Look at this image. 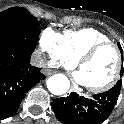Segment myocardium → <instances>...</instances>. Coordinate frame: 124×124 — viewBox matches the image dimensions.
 <instances>
[{
  "label": "myocardium",
  "mask_w": 124,
  "mask_h": 124,
  "mask_svg": "<svg viewBox=\"0 0 124 124\" xmlns=\"http://www.w3.org/2000/svg\"><path fill=\"white\" fill-rule=\"evenodd\" d=\"M105 48H113L117 55V66L116 70L112 76V78L105 84L100 86H86L87 90L92 93H103L111 88H113L121 79L123 69H124V55L122 50L119 48V46L111 41L108 42H102L94 45L92 48H90L85 54H83L77 61L76 66L80 70L81 67L93 59L101 50Z\"/></svg>",
  "instance_id": "myocardium-1"
}]
</instances>
